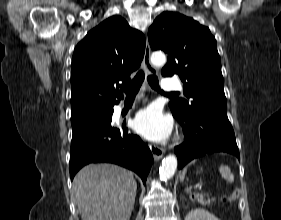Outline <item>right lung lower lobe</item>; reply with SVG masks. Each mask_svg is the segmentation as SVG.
<instances>
[{
	"instance_id": "obj_1",
	"label": "right lung lower lobe",
	"mask_w": 281,
	"mask_h": 220,
	"mask_svg": "<svg viewBox=\"0 0 281 220\" xmlns=\"http://www.w3.org/2000/svg\"><path fill=\"white\" fill-rule=\"evenodd\" d=\"M113 106L72 125L71 180L86 164L109 162L136 172L146 183L153 162L152 153L139 136L128 132L125 122L121 128L112 124Z\"/></svg>"
}]
</instances>
